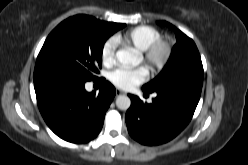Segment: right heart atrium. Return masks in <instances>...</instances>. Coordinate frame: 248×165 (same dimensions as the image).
<instances>
[{
	"label": "right heart atrium",
	"mask_w": 248,
	"mask_h": 165,
	"mask_svg": "<svg viewBox=\"0 0 248 165\" xmlns=\"http://www.w3.org/2000/svg\"><path fill=\"white\" fill-rule=\"evenodd\" d=\"M117 43L114 39L107 40L101 49V61L104 66L111 67L115 63Z\"/></svg>",
	"instance_id": "d8ad5b80"
}]
</instances>
